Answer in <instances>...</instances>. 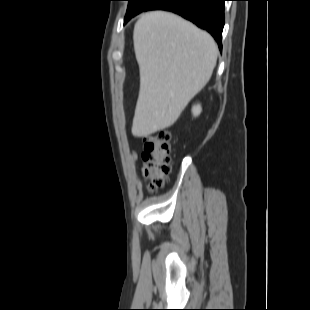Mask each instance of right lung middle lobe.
I'll list each match as a JSON object with an SVG mask.
<instances>
[{
  "instance_id": "dd1d6c3e",
  "label": "right lung middle lobe",
  "mask_w": 310,
  "mask_h": 310,
  "mask_svg": "<svg viewBox=\"0 0 310 310\" xmlns=\"http://www.w3.org/2000/svg\"><path fill=\"white\" fill-rule=\"evenodd\" d=\"M129 5L126 13V17L135 15L142 10L148 8L153 3H155L158 0H128Z\"/></svg>"
}]
</instances>
